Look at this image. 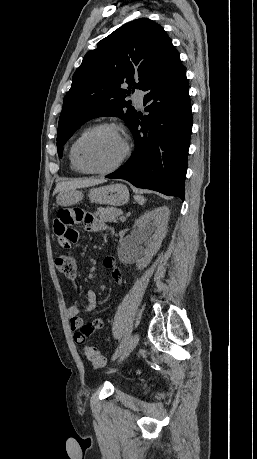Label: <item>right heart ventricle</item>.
Returning a JSON list of instances; mask_svg holds the SVG:
<instances>
[{
  "instance_id": "1",
  "label": "right heart ventricle",
  "mask_w": 257,
  "mask_h": 459,
  "mask_svg": "<svg viewBox=\"0 0 257 459\" xmlns=\"http://www.w3.org/2000/svg\"><path fill=\"white\" fill-rule=\"evenodd\" d=\"M76 141V140H75ZM75 141L72 142V144L70 145L69 147V151H68V159H69V165H70V169L75 172V173H78V174H84L85 172H83L76 164L75 160H74V156H73V147H74V143Z\"/></svg>"
}]
</instances>
